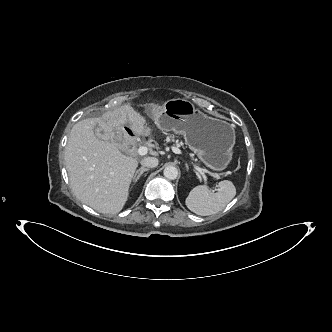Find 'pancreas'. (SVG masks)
Segmentation results:
<instances>
[{
  "mask_svg": "<svg viewBox=\"0 0 332 332\" xmlns=\"http://www.w3.org/2000/svg\"><path fill=\"white\" fill-rule=\"evenodd\" d=\"M166 141H175V139H174V137L173 136H169V137H167V139H166Z\"/></svg>",
  "mask_w": 332,
  "mask_h": 332,
  "instance_id": "1",
  "label": "pancreas"
}]
</instances>
